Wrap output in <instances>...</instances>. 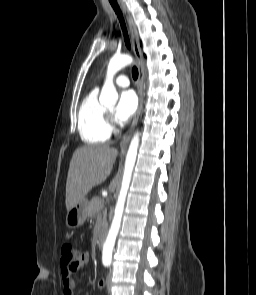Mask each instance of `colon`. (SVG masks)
<instances>
[{
  "label": "colon",
  "mask_w": 256,
  "mask_h": 295,
  "mask_svg": "<svg viewBox=\"0 0 256 295\" xmlns=\"http://www.w3.org/2000/svg\"><path fill=\"white\" fill-rule=\"evenodd\" d=\"M79 254L73 244L66 242L61 246L60 264L63 269H74L77 266Z\"/></svg>",
  "instance_id": "colon-1"
}]
</instances>
